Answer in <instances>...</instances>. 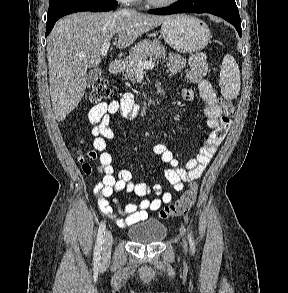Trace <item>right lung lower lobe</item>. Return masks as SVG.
<instances>
[{
  "label": "right lung lower lobe",
  "instance_id": "98d812e1",
  "mask_svg": "<svg viewBox=\"0 0 288 293\" xmlns=\"http://www.w3.org/2000/svg\"><path fill=\"white\" fill-rule=\"evenodd\" d=\"M117 7V4L114 5H100L95 3H77L73 5L66 6L62 9H59L58 11L49 14L47 17V23H46V37L49 35L51 30L54 27L55 22L68 14L75 13V12H81V11H92V12H100V11H110Z\"/></svg>",
  "mask_w": 288,
  "mask_h": 293
}]
</instances>
